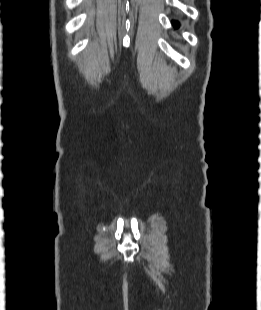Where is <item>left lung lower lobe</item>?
Wrapping results in <instances>:
<instances>
[{"label":"left lung lower lobe","mask_w":261,"mask_h":310,"mask_svg":"<svg viewBox=\"0 0 261 310\" xmlns=\"http://www.w3.org/2000/svg\"><path fill=\"white\" fill-rule=\"evenodd\" d=\"M173 24H174V27H176V28L179 26L178 22H174Z\"/></svg>","instance_id":"left-lung-lower-lobe-1"}]
</instances>
